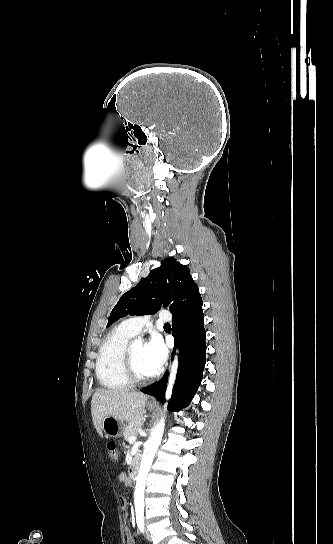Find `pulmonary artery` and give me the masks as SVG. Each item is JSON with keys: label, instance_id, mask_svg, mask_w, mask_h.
<instances>
[{"label": "pulmonary artery", "instance_id": "e3ab8cb5", "mask_svg": "<svg viewBox=\"0 0 333 544\" xmlns=\"http://www.w3.org/2000/svg\"><path fill=\"white\" fill-rule=\"evenodd\" d=\"M159 318L161 321L168 322L171 320V315L167 311H161L159 314ZM149 324L150 323L147 317L137 316V317H132L123 321L121 325L127 331L135 335V334H138L145 327H147Z\"/></svg>", "mask_w": 333, "mask_h": 544}]
</instances>
